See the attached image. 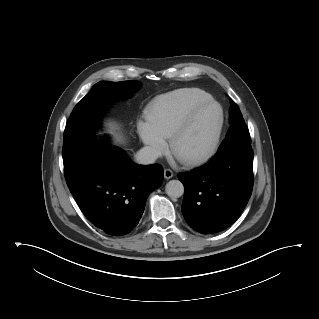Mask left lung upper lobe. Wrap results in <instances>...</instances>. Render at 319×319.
I'll list each match as a JSON object with an SVG mask.
<instances>
[{
    "instance_id": "left-lung-upper-lobe-1",
    "label": "left lung upper lobe",
    "mask_w": 319,
    "mask_h": 319,
    "mask_svg": "<svg viewBox=\"0 0 319 319\" xmlns=\"http://www.w3.org/2000/svg\"><path fill=\"white\" fill-rule=\"evenodd\" d=\"M229 116L230 128L218 150H225L234 145L251 146L249 131L237 104L232 103Z\"/></svg>"
}]
</instances>
